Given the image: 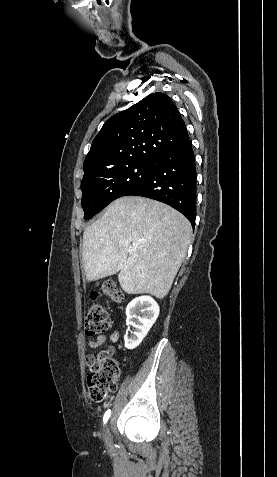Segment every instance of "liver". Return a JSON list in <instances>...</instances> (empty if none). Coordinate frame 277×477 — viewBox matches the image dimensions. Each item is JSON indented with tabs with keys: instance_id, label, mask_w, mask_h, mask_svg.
Returning <instances> with one entry per match:
<instances>
[{
	"instance_id": "obj_1",
	"label": "liver",
	"mask_w": 277,
	"mask_h": 477,
	"mask_svg": "<svg viewBox=\"0 0 277 477\" xmlns=\"http://www.w3.org/2000/svg\"><path fill=\"white\" fill-rule=\"evenodd\" d=\"M190 222L174 208L144 197L112 202L83 233V266L88 281L119 272L128 294L163 299L191 242Z\"/></svg>"
}]
</instances>
